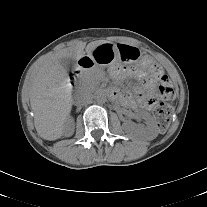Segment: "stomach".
<instances>
[{"mask_svg":"<svg viewBox=\"0 0 207 207\" xmlns=\"http://www.w3.org/2000/svg\"><path fill=\"white\" fill-rule=\"evenodd\" d=\"M87 57L100 67H112L118 64H132L144 60L143 54L135 47L126 44L105 42L96 47Z\"/></svg>","mask_w":207,"mask_h":207,"instance_id":"0dacf381","label":"stomach"}]
</instances>
